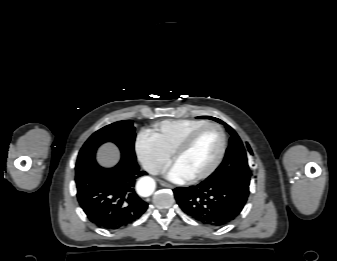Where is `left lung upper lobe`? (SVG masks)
Here are the masks:
<instances>
[{"instance_id": "obj_1", "label": "left lung upper lobe", "mask_w": 337, "mask_h": 261, "mask_svg": "<svg viewBox=\"0 0 337 261\" xmlns=\"http://www.w3.org/2000/svg\"><path fill=\"white\" fill-rule=\"evenodd\" d=\"M211 119L223 123L231 134V138L223 162L206 180L222 181L231 184L240 192L248 196L251 173L247 162L246 150L242 141L229 125L216 118ZM247 149L252 153L249 145H247Z\"/></svg>"}]
</instances>
